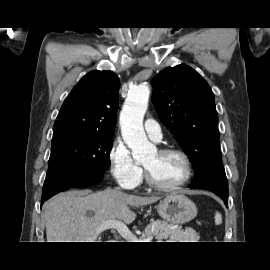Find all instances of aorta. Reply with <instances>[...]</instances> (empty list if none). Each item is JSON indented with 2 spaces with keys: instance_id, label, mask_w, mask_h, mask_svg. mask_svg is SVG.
Here are the masks:
<instances>
[{
  "instance_id": "aorta-1",
  "label": "aorta",
  "mask_w": 270,
  "mask_h": 270,
  "mask_svg": "<svg viewBox=\"0 0 270 270\" xmlns=\"http://www.w3.org/2000/svg\"><path fill=\"white\" fill-rule=\"evenodd\" d=\"M150 89L140 84L132 89L120 113L121 133L124 142L132 151L135 160L141 161L156 151L147 139L143 128V118L148 107Z\"/></svg>"
}]
</instances>
